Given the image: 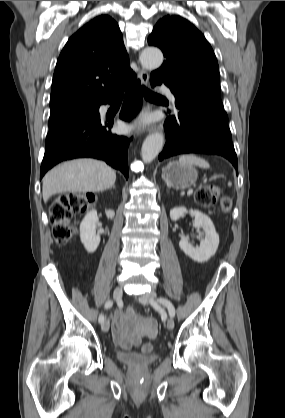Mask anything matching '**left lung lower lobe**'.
Here are the masks:
<instances>
[{
  "label": "left lung lower lobe",
  "mask_w": 285,
  "mask_h": 418,
  "mask_svg": "<svg viewBox=\"0 0 285 418\" xmlns=\"http://www.w3.org/2000/svg\"><path fill=\"white\" fill-rule=\"evenodd\" d=\"M151 78V85L161 84ZM164 123L166 144L159 160L185 153L217 154L238 169L237 156L224 110L202 102H183Z\"/></svg>",
  "instance_id": "1"
}]
</instances>
